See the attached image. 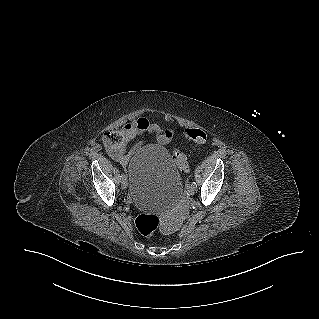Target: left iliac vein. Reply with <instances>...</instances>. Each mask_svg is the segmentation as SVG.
<instances>
[{
    "label": "left iliac vein",
    "mask_w": 319,
    "mask_h": 319,
    "mask_svg": "<svg viewBox=\"0 0 319 319\" xmlns=\"http://www.w3.org/2000/svg\"><path fill=\"white\" fill-rule=\"evenodd\" d=\"M195 187L190 185L189 187H187V191L190 195H193L195 193Z\"/></svg>",
    "instance_id": "obj_1"
}]
</instances>
